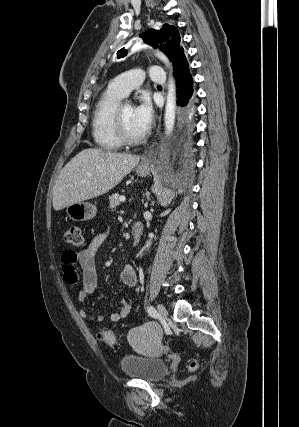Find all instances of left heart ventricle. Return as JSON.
<instances>
[{
  "label": "left heart ventricle",
  "mask_w": 299,
  "mask_h": 427,
  "mask_svg": "<svg viewBox=\"0 0 299 427\" xmlns=\"http://www.w3.org/2000/svg\"><path fill=\"white\" fill-rule=\"evenodd\" d=\"M122 115L126 131L130 136H138L144 133L134 118V108L130 104L123 106Z\"/></svg>",
  "instance_id": "1"
}]
</instances>
